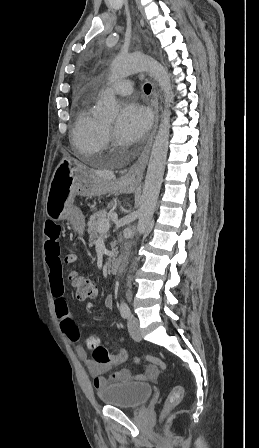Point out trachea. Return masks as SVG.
Masks as SVG:
<instances>
[{"label": "trachea", "instance_id": "1", "mask_svg": "<svg viewBox=\"0 0 259 448\" xmlns=\"http://www.w3.org/2000/svg\"><path fill=\"white\" fill-rule=\"evenodd\" d=\"M151 89H152V87H151V85L149 84V83H146L145 85H144V91H145V93H150L151 92Z\"/></svg>", "mask_w": 259, "mask_h": 448}]
</instances>
